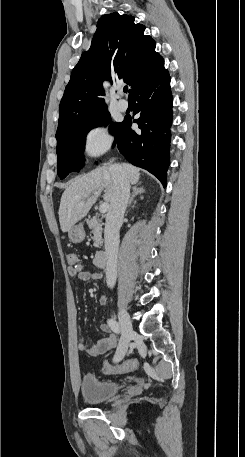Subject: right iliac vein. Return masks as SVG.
<instances>
[{
	"label": "right iliac vein",
	"instance_id": "1",
	"mask_svg": "<svg viewBox=\"0 0 245 457\" xmlns=\"http://www.w3.org/2000/svg\"><path fill=\"white\" fill-rule=\"evenodd\" d=\"M119 322L122 329V335L114 361H120L124 358L133 334V325L129 314L125 309H120L119 311Z\"/></svg>",
	"mask_w": 245,
	"mask_h": 457
}]
</instances>
